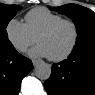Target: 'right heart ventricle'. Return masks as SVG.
Instances as JSON below:
<instances>
[{
	"instance_id": "right-heart-ventricle-1",
	"label": "right heart ventricle",
	"mask_w": 95,
	"mask_h": 95,
	"mask_svg": "<svg viewBox=\"0 0 95 95\" xmlns=\"http://www.w3.org/2000/svg\"><path fill=\"white\" fill-rule=\"evenodd\" d=\"M63 19L59 14L53 13L46 8L39 7L30 10L25 15V25L33 37L37 35L52 23Z\"/></svg>"
}]
</instances>
